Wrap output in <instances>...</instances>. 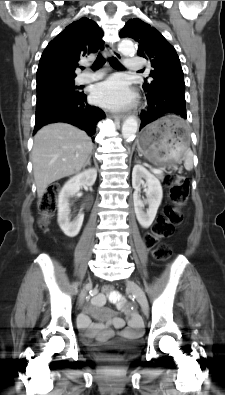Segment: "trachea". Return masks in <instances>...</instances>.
<instances>
[{"mask_svg": "<svg viewBox=\"0 0 225 395\" xmlns=\"http://www.w3.org/2000/svg\"><path fill=\"white\" fill-rule=\"evenodd\" d=\"M110 65L115 68V69H123L124 67L122 66V64L115 58H110L109 59ZM105 64V59L101 56V54H99L93 64V69H99L101 68L103 65Z\"/></svg>", "mask_w": 225, "mask_h": 395, "instance_id": "3493384b", "label": "trachea"}]
</instances>
